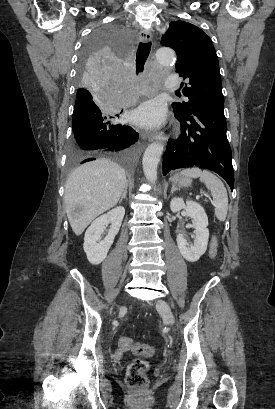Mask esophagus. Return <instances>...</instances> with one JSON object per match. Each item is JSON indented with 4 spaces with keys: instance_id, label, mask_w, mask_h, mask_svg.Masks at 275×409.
Here are the masks:
<instances>
[{
    "instance_id": "obj_1",
    "label": "esophagus",
    "mask_w": 275,
    "mask_h": 409,
    "mask_svg": "<svg viewBox=\"0 0 275 409\" xmlns=\"http://www.w3.org/2000/svg\"><path fill=\"white\" fill-rule=\"evenodd\" d=\"M139 38L141 40V42H150V40L152 39V33L150 30H144L142 29L139 32ZM150 140H156L158 142H162L163 144L166 143L167 140V136L164 134V132L159 131L156 132L151 138Z\"/></svg>"
}]
</instances>
